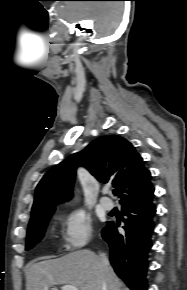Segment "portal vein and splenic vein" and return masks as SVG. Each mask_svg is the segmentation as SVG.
Masks as SVG:
<instances>
[{
    "instance_id": "1",
    "label": "portal vein and splenic vein",
    "mask_w": 187,
    "mask_h": 290,
    "mask_svg": "<svg viewBox=\"0 0 187 290\" xmlns=\"http://www.w3.org/2000/svg\"><path fill=\"white\" fill-rule=\"evenodd\" d=\"M45 290H49V289L45 288ZM61 290H78V288L74 285H63L61 286Z\"/></svg>"
}]
</instances>
